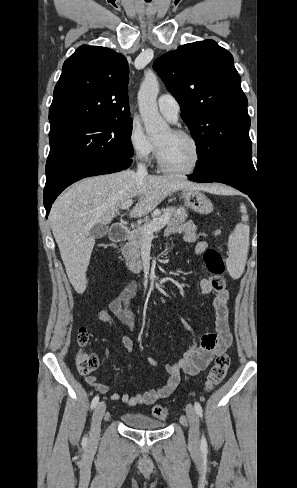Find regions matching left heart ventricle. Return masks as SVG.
Instances as JSON below:
<instances>
[{"label": "left heart ventricle", "mask_w": 297, "mask_h": 488, "mask_svg": "<svg viewBox=\"0 0 297 488\" xmlns=\"http://www.w3.org/2000/svg\"><path fill=\"white\" fill-rule=\"evenodd\" d=\"M161 148L164 162L174 169H187L195 159L192 143L184 137L174 135L172 131L164 133L157 141Z\"/></svg>", "instance_id": "b2bd125f"}]
</instances>
